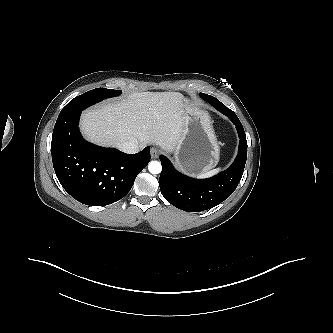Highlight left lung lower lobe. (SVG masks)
I'll return each mask as SVG.
<instances>
[{
    "label": "left lung lower lobe",
    "mask_w": 333,
    "mask_h": 333,
    "mask_svg": "<svg viewBox=\"0 0 333 333\" xmlns=\"http://www.w3.org/2000/svg\"><path fill=\"white\" fill-rule=\"evenodd\" d=\"M202 98L234 123L240 140L238 155L232 165L207 179L186 176L178 172L167 157L160 156L159 186L162 195L175 207L189 212L213 208L227 199L242 177L247 157L246 135L237 115L213 96L205 94Z\"/></svg>",
    "instance_id": "1"
}]
</instances>
